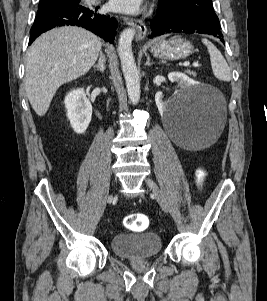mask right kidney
<instances>
[{
    "label": "right kidney",
    "instance_id": "obj_1",
    "mask_svg": "<svg viewBox=\"0 0 267 301\" xmlns=\"http://www.w3.org/2000/svg\"><path fill=\"white\" fill-rule=\"evenodd\" d=\"M67 118L77 134H83L89 126L92 117V105L87 99L84 89H74L64 100Z\"/></svg>",
    "mask_w": 267,
    "mask_h": 301
}]
</instances>
